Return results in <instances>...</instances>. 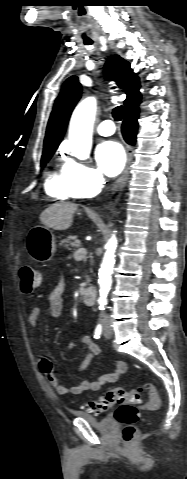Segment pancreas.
Returning <instances> with one entry per match:
<instances>
[{"label":"pancreas","mask_w":187,"mask_h":479,"mask_svg":"<svg viewBox=\"0 0 187 479\" xmlns=\"http://www.w3.org/2000/svg\"><path fill=\"white\" fill-rule=\"evenodd\" d=\"M60 246H63L64 248L72 250V247H81V242L77 238V236H68L66 239L61 241ZM86 279H87L86 284H88L91 281V279L89 276H86Z\"/></svg>","instance_id":"obj_1"}]
</instances>
